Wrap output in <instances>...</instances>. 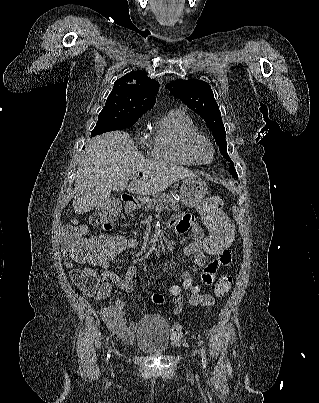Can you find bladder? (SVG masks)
I'll list each match as a JSON object with an SVG mask.
<instances>
[{"instance_id": "31cf9c89", "label": "bladder", "mask_w": 319, "mask_h": 403, "mask_svg": "<svg viewBox=\"0 0 319 403\" xmlns=\"http://www.w3.org/2000/svg\"><path fill=\"white\" fill-rule=\"evenodd\" d=\"M134 345L147 354H162L169 346V326L158 314H148L138 322Z\"/></svg>"}]
</instances>
